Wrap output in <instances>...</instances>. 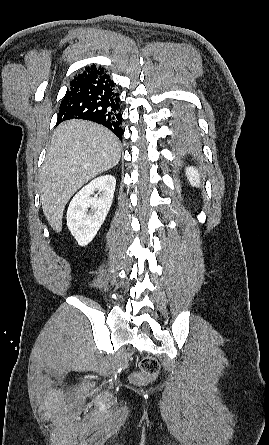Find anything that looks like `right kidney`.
Here are the masks:
<instances>
[{
    "label": "right kidney",
    "instance_id": "obj_1",
    "mask_svg": "<svg viewBox=\"0 0 269 445\" xmlns=\"http://www.w3.org/2000/svg\"><path fill=\"white\" fill-rule=\"evenodd\" d=\"M115 186V177L104 175L92 180L71 200L67 226L79 245L86 246L96 236L110 210Z\"/></svg>",
    "mask_w": 269,
    "mask_h": 445
}]
</instances>
